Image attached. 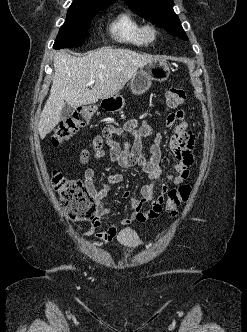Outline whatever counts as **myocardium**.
I'll return each instance as SVG.
<instances>
[{"label":"myocardium","instance_id":"obj_1","mask_svg":"<svg viewBox=\"0 0 247 332\" xmlns=\"http://www.w3.org/2000/svg\"><path fill=\"white\" fill-rule=\"evenodd\" d=\"M143 33H144L145 38L149 42L156 40V38L158 36V31H157L156 27L153 25H145L143 28Z\"/></svg>","mask_w":247,"mask_h":332}]
</instances>
